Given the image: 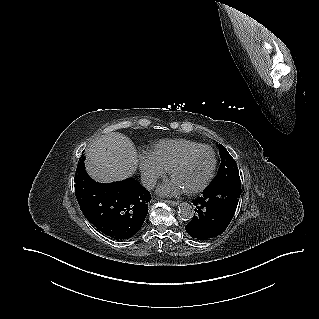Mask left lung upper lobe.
I'll return each instance as SVG.
<instances>
[{
    "instance_id": "1",
    "label": "left lung upper lobe",
    "mask_w": 319,
    "mask_h": 319,
    "mask_svg": "<svg viewBox=\"0 0 319 319\" xmlns=\"http://www.w3.org/2000/svg\"><path fill=\"white\" fill-rule=\"evenodd\" d=\"M217 146L219 148L221 164L217 176L214 178L209 187L218 186L232 179H240L238 167L235 160L232 158V156L228 153L223 145L217 144Z\"/></svg>"
}]
</instances>
